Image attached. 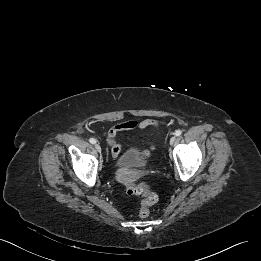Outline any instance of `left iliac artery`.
I'll return each instance as SVG.
<instances>
[{
  "label": "left iliac artery",
  "instance_id": "44dca946",
  "mask_svg": "<svg viewBox=\"0 0 261 261\" xmlns=\"http://www.w3.org/2000/svg\"><path fill=\"white\" fill-rule=\"evenodd\" d=\"M181 133H182V131H181V130H176V131H175V135H176V136H180V135H181Z\"/></svg>",
  "mask_w": 261,
  "mask_h": 261
}]
</instances>
